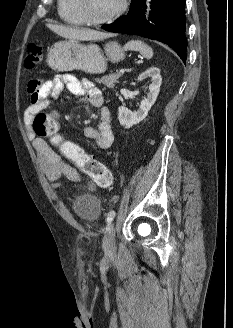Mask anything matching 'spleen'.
<instances>
[{
    "instance_id": "1",
    "label": "spleen",
    "mask_w": 233,
    "mask_h": 328,
    "mask_svg": "<svg viewBox=\"0 0 233 328\" xmlns=\"http://www.w3.org/2000/svg\"><path fill=\"white\" fill-rule=\"evenodd\" d=\"M124 50L138 51L143 57L150 59L153 57V50L150 46L139 40H131L124 45Z\"/></svg>"
}]
</instances>
